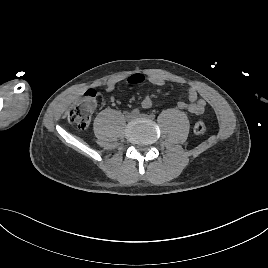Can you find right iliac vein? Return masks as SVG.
I'll list each match as a JSON object with an SVG mask.
<instances>
[{"label":"right iliac vein","instance_id":"obj_1","mask_svg":"<svg viewBox=\"0 0 268 268\" xmlns=\"http://www.w3.org/2000/svg\"><path fill=\"white\" fill-rule=\"evenodd\" d=\"M126 120L130 121L133 120L135 118V115L133 113H127L125 115Z\"/></svg>","mask_w":268,"mask_h":268}]
</instances>
